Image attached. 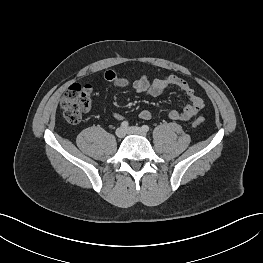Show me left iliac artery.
Here are the masks:
<instances>
[{
    "instance_id": "44dca946",
    "label": "left iliac artery",
    "mask_w": 263,
    "mask_h": 263,
    "mask_svg": "<svg viewBox=\"0 0 263 263\" xmlns=\"http://www.w3.org/2000/svg\"><path fill=\"white\" fill-rule=\"evenodd\" d=\"M149 126L148 125H143L142 126V130L145 131V132H148L149 131Z\"/></svg>"
}]
</instances>
